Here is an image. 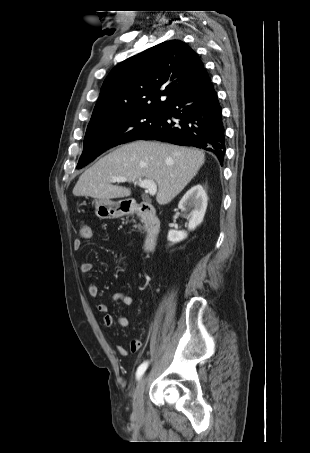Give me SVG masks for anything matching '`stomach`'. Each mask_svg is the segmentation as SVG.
I'll return each mask as SVG.
<instances>
[{
    "label": "stomach",
    "mask_w": 310,
    "mask_h": 453,
    "mask_svg": "<svg viewBox=\"0 0 310 453\" xmlns=\"http://www.w3.org/2000/svg\"><path fill=\"white\" fill-rule=\"evenodd\" d=\"M124 201L114 202L107 199L95 200V214L100 219H115L127 214Z\"/></svg>",
    "instance_id": "1"
}]
</instances>
